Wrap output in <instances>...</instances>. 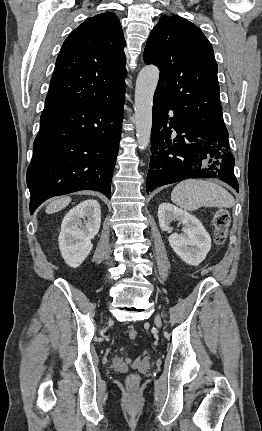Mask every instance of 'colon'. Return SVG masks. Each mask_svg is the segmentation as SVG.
Here are the masks:
<instances>
[{
    "mask_svg": "<svg viewBox=\"0 0 262 431\" xmlns=\"http://www.w3.org/2000/svg\"><path fill=\"white\" fill-rule=\"evenodd\" d=\"M230 215L226 209H217L213 218L214 227V241L217 244H223L227 238L229 226H230ZM129 337L135 339L138 337V331L136 329H131L129 331ZM127 382L131 386H135L139 382V376L135 373L131 374Z\"/></svg>",
    "mask_w": 262,
    "mask_h": 431,
    "instance_id": "5ec220e1",
    "label": "colon"
}]
</instances>
